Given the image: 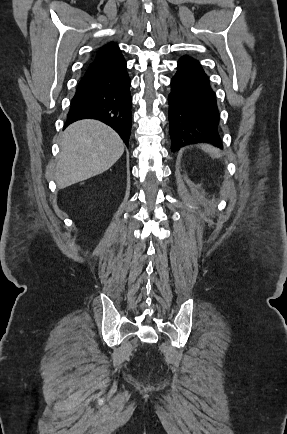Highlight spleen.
I'll return each mask as SVG.
<instances>
[{"label":"spleen","instance_id":"obj_1","mask_svg":"<svg viewBox=\"0 0 287 434\" xmlns=\"http://www.w3.org/2000/svg\"><path fill=\"white\" fill-rule=\"evenodd\" d=\"M201 149L204 150L206 153H208L211 157L220 158L222 156L220 150L213 146L202 145Z\"/></svg>","mask_w":287,"mask_h":434}]
</instances>
